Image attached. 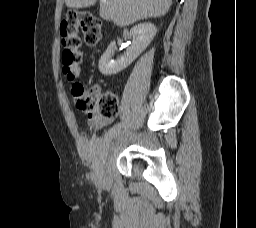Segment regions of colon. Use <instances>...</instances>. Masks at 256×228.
<instances>
[{
  "mask_svg": "<svg viewBox=\"0 0 256 228\" xmlns=\"http://www.w3.org/2000/svg\"><path fill=\"white\" fill-rule=\"evenodd\" d=\"M83 33L88 46H95L102 39L101 21L89 11H71L60 26L64 50L62 53L63 72L69 80L75 79L81 68L80 47ZM75 104L89 118L113 119L118 114V97L113 92L97 94L77 83L72 88Z\"/></svg>",
  "mask_w": 256,
  "mask_h": 228,
  "instance_id": "colon-1",
  "label": "colon"
}]
</instances>
